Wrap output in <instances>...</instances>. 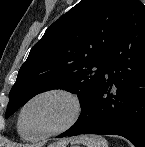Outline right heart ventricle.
Masks as SVG:
<instances>
[{
	"label": "right heart ventricle",
	"instance_id": "right-heart-ventricle-1",
	"mask_svg": "<svg viewBox=\"0 0 145 147\" xmlns=\"http://www.w3.org/2000/svg\"><path fill=\"white\" fill-rule=\"evenodd\" d=\"M19 134H20L21 137H23V138H25V139H28V138H27L25 135H23L22 133L19 132Z\"/></svg>",
	"mask_w": 145,
	"mask_h": 147
}]
</instances>
